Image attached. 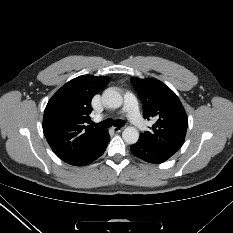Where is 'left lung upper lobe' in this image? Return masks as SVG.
Instances as JSON below:
<instances>
[{
  "mask_svg": "<svg viewBox=\"0 0 233 233\" xmlns=\"http://www.w3.org/2000/svg\"><path fill=\"white\" fill-rule=\"evenodd\" d=\"M131 82L143 104L144 117L156 119L152 130L141 133L140 137L174 154L182 146L188 127L179 98L159 80L131 78Z\"/></svg>",
  "mask_w": 233,
  "mask_h": 233,
  "instance_id": "obj_1",
  "label": "left lung upper lobe"
}]
</instances>
